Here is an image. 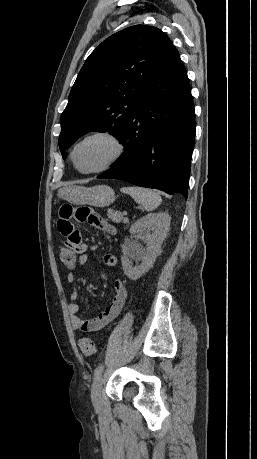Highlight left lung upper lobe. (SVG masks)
<instances>
[{"label": "left lung upper lobe", "instance_id": "1", "mask_svg": "<svg viewBox=\"0 0 257 459\" xmlns=\"http://www.w3.org/2000/svg\"><path fill=\"white\" fill-rule=\"evenodd\" d=\"M173 46L158 28L135 25L103 41L87 58L61 114L59 147L91 130L121 139L139 95L168 60Z\"/></svg>", "mask_w": 257, "mask_h": 459}]
</instances>
